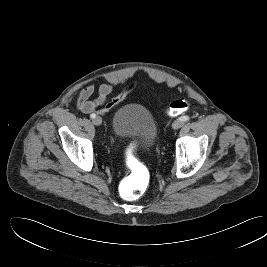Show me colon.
<instances>
[{"label":"colon","instance_id":"1","mask_svg":"<svg viewBox=\"0 0 267 267\" xmlns=\"http://www.w3.org/2000/svg\"><path fill=\"white\" fill-rule=\"evenodd\" d=\"M190 106L188 100L184 98L173 101L167 113L171 116L185 112ZM133 146L126 153V164L129 174L123 179L120 185V193L127 200L139 198L146 190L149 183V172L147 168L135 157Z\"/></svg>","mask_w":267,"mask_h":267}]
</instances>
